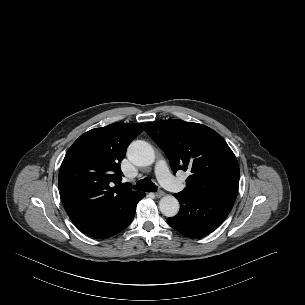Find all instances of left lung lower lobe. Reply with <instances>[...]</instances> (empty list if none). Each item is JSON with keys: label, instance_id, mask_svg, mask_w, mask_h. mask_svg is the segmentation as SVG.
<instances>
[{"label": "left lung lower lobe", "instance_id": "obj_1", "mask_svg": "<svg viewBox=\"0 0 305 305\" xmlns=\"http://www.w3.org/2000/svg\"><path fill=\"white\" fill-rule=\"evenodd\" d=\"M180 203L179 213L168 224L188 237H202L217 229L231 211L235 199L227 196L187 197L174 195Z\"/></svg>", "mask_w": 305, "mask_h": 305}]
</instances>
